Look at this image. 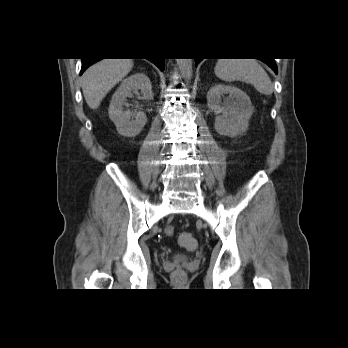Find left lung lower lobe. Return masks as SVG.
<instances>
[{
    "label": "left lung lower lobe",
    "instance_id": "1",
    "mask_svg": "<svg viewBox=\"0 0 348 348\" xmlns=\"http://www.w3.org/2000/svg\"><path fill=\"white\" fill-rule=\"evenodd\" d=\"M201 60L202 59H198V58L195 59L196 66ZM260 60H262V59H260ZM262 61L265 62L267 65H269L274 70V72L277 73V66H276L274 59H268V60H262Z\"/></svg>",
    "mask_w": 348,
    "mask_h": 348
}]
</instances>
